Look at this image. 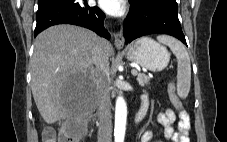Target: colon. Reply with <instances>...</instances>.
Instances as JSON below:
<instances>
[{
	"mask_svg": "<svg viewBox=\"0 0 227 142\" xmlns=\"http://www.w3.org/2000/svg\"><path fill=\"white\" fill-rule=\"evenodd\" d=\"M171 100L177 109H182V105L178 100L175 92V85L171 84L169 87ZM84 120L81 119L80 123L69 124L57 132L52 127H47L42 132V142H78L82 134L81 123Z\"/></svg>",
	"mask_w": 227,
	"mask_h": 142,
	"instance_id": "1",
	"label": "colon"
}]
</instances>
